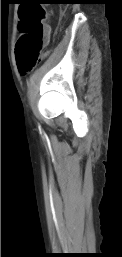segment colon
Listing matches in <instances>:
<instances>
[{
	"mask_svg": "<svg viewBox=\"0 0 122 257\" xmlns=\"http://www.w3.org/2000/svg\"><path fill=\"white\" fill-rule=\"evenodd\" d=\"M20 37L16 45L19 69L28 71L40 58L48 42V27L44 23L43 5H20Z\"/></svg>",
	"mask_w": 122,
	"mask_h": 257,
	"instance_id": "colon-1",
	"label": "colon"
}]
</instances>
